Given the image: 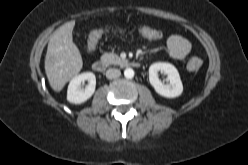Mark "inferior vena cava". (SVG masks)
Instances as JSON below:
<instances>
[{
    "label": "inferior vena cava",
    "instance_id": "obj_1",
    "mask_svg": "<svg viewBox=\"0 0 248 165\" xmlns=\"http://www.w3.org/2000/svg\"><path fill=\"white\" fill-rule=\"evenodd\" d=\"M121 75V72L119 69L111 68L106 71V77L108 79H115L118 78Z\"/></svg>",
    "mask_w": 248,
    "mask_h": 165
}]
</instances>
